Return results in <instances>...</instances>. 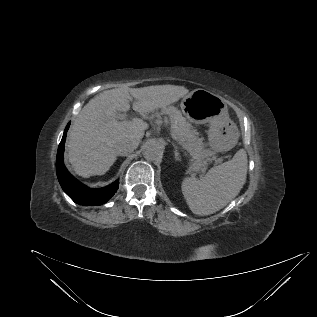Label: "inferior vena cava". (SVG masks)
I'll return each mask as SVG.
<instances>
[{"instance_id":"602c4592","label":"inferior vena cava","mask_w":317,"mask_h":317,"mask_svg":"<svg viewBox=\"0 0 317 317\" xmlns=\"http://www.w3.org/2000/svg\"><path fill=\"white\" fill-rule=\"evenodd\" d=\"M137 141H126V142H121L116 146V154L118 156H126L132 151H134L137 146H138Z\"/></svg>"}]
</instances>
